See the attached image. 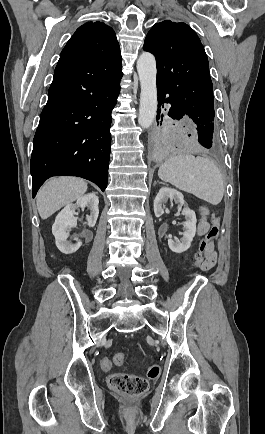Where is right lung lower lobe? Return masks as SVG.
Here are the masks:
<instances>
[{
  "mask_svg": "<svg viewBox=\"0 0 265 434\" xmlns=\"http://www.w3.org/2000/svg\"><path fill=\"white\" fill-rule=\"evenodd\" d=\"M121 55L60 57L34 137L32 193L57 175L107 186L111 112L117 102Z\"/></svg>",
  "mask_w": 265,
  "mask_h": 434,
  "instance_id": "right-lung-lower-lobe-1",
  "label": "right lung lower lobe"
}]
</instances>
